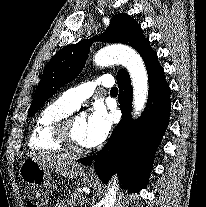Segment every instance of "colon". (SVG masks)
<instances>
[{"label":"colon","mask_w":206,"mask_h":207,"mask_svg":"<svg viewBox=\"0 0 206 207\" xmlns=\"http://www.w3.org/2000/svg\"><path fill=\"white\" fill-rule=\"evenodd\" d=\"M28 207H43L45 204L44 195L37 190H30L27 194Z\"/></svg>","instance_id":"1"}]
</instances>
